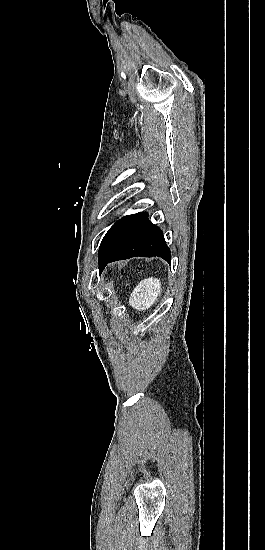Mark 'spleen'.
<instances>
[{
	"label": "spleen",
	"mask_w": 265,
	"mask_h": 550,
	"mask_svg": "<svg viewBox=\"0 0 265 550\" xmlns=\"http://www.w3.org/2000/svg\"><path fill=\"white\" fill-rule=\"evenodd\" d=\"M161 292L160 279L153 277L144 279L140 281L132 291L129 298V305L139 311L149 309L156 303Z\"/></svg>",
	"instance_id": "1"
}]
</instances>
